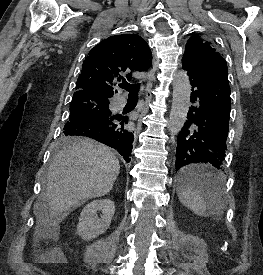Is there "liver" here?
<instances>
[{
	"mask_svg": "<svg viewBox=\"0 0 263 275\" xmlns=\"http://www.w3.org/2000/svg\"><path fill=\"white\" fill-rule=\"evenodd\" d=\"M119 171L118 159L103 145L79 140L63 148L48 169L43 203L34 206L38 228H58L80 202L108 194Z\"/></svg>",
	"mask_w": 263,
	"mask_h": 275,
	"instance_id": "obj_1",
	"label": "liver"
}]
</instances>
